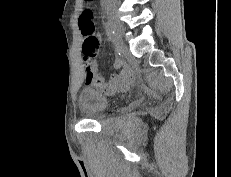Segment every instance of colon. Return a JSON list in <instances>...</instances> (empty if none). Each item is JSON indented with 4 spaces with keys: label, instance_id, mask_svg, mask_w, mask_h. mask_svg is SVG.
Here are the masks:
<instances>
[{
    "label": "colon",
    "instance_id": "obj_1",
    "mask_svg": "<svg viewBox=\"0 0 231 177\" xmlns=\"http://www.w3.org/2000/svg\"><path fill=\"white\" fill-rule=\"evenodd\" d=\"M79 26L84 38L82 45L83 59L86 63H90L99 48V39L95 35V26L92 22V11L90 9L83 10L79 18Z\"/></svg>",
    "mask_w": 231,
    "mask_h": 177
}]
</instances>
